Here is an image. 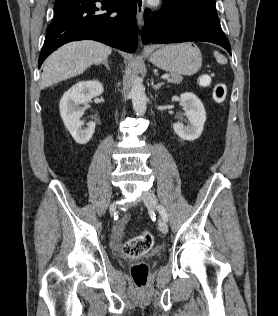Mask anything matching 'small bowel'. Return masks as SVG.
Masks as SVG:
<instances>
[{
  "instance_id": "c3829d8e",
  "label": "small bowel",
  "mask_w": 278,
  "mask_h": 316,
  "mask_svg": "<svg viewBox=\"0 0 278 316\" xmlns=\"http://www.w3.org/2000/svg\"><path fill=\"white\" fill-rule=\"evenodd\" d=\"M127 221V218H123L120 222V224L117 226L116 228V231H115V241L117 242L120 238V235H121V231H122V228L123 226L125 225Z\"/></svg>"
}]
</instances>
